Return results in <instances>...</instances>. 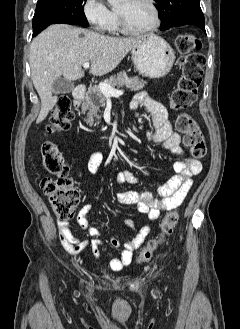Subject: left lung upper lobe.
I'll list each match as a JSON object with an SVG mask.
<instances>
[{
    "label": "left lung upper lobe",
    "instance_id": "obj_1",
    "mask_svg": "<svg viewBox=\"0 0 240 329\" xmlns=\"http://www.w3.org/2000/svg\"><path fill=\"white\" fill-rule=\"evenodd\" d=\"M161 18V30H166L174 24L194 22L205 24L200 8V0H155Z\"/></svg>",
    "mask_w": 240,
    "mask_h": 329
}]
</instances>
